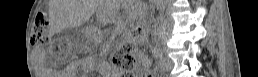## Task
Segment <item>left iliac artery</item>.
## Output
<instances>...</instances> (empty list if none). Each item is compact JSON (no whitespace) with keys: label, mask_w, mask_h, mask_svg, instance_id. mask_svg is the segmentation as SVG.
I'll use <instances>...</instances> for the list:
<instances>
[{"label":"left iliac artery","mask_w":258,"mask_h":77,"mask_svg":"<svg viewBox=\"0 0 258 77\" xmlns=\"http://www.w3.org/2000/svg\"><path fill=\"white\" fill-rule=\"evenodd\" d=\"M154 54H156V56H162V54H160V53H156V51L154 50Z\"/></svg>","instance_id":"obj_1"}]
</instances>
